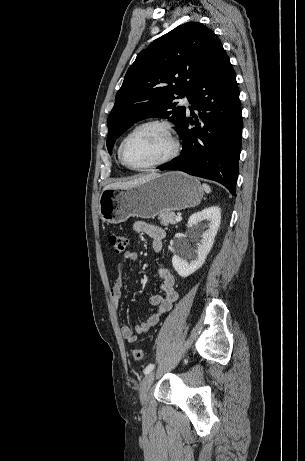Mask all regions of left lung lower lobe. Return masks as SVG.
I'll return each mask as SVG.
<instances>
[{"instance_id": "left-lung-lower-lobe-1", "label": "left lung lower lobe", "mask_w": 305, "mask_h": 461, "mask_svg": "<svg viewBox=\"0 0 305 461\" xmlns=\"http://www.w3.org/2000/svg\"><path fill=\"white\" fill-rule=\"evenodd\" d=\"M188 98L192 117L185 116L178 127L182 152L158 168L217 181L236 195L242 116L235 72L224 49Z\"/></svg>"}]
</instances>
